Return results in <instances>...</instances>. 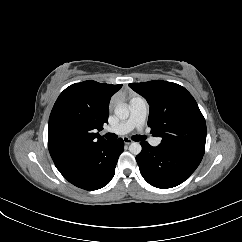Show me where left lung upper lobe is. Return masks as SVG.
Masks as SVG:
<instances>
[{"mask_svg": "<svg viewBox=\"0 0 242 242\" xmlns=\"http://www.w3.org/2000/svg\"><path fill=\"white\" fill-rule=\"evenodd\" d=\"M150 105L148 126L162 137L161 146L204 155L206 122L192 95L181 85L162 80L131 83Z\"/></svg>", "mask_w": 242, "mask_h": 242, "instance_id": "obj_1", "label": "left lung upper lobe"}]
</instances>
